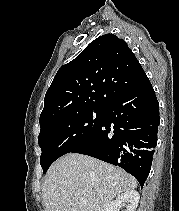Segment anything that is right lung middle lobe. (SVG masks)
Returning a JSON list of instances; mask_svg holds the SVG:
<instances>
[{"label":"right lung middle lobe","mask_w":179,"mask_h":211,"mask_svg":"<svg viewBox=\"0 0 179 211\" xmlns=\"http://www.w3.org/2000/svg\"><path fill=\"white\" fill-rule=\"evenodd\" d=\"M105 108H92L53 120L41 128L38 143L40 164L45 173L62 155L87 142L99 128Z\"/></svg>","instance_id":"obj_1"}]
</instances>
